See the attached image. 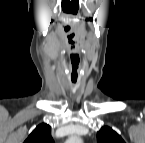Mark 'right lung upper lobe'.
Masks as SVG:
<instances>
[{
    "label": "right lung upper lobe",
    "instance_id": "right-lung-upper-lobe-1",
    "mask_svg": "<svg viewBox=\"0 0 145 143\" xmlns=\"http://www.w3.org/2000/svg\"><path fill=\"white\" fill-rule=\"evenodd\" d=\"M50 132L51 127L42 123L33 130L24 143H54Z\"/></svg>",
    "mask_w": 145,
    "mask_h": 143
}]
</instances>
